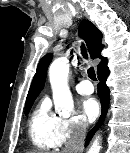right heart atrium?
Here are the masks:
<instances>
[{"mask_svg": "<svg viewBox=\"0 0 130 153\" xmlns=\"http://www.w3.org/2000/svg\"><path fill=\"white\" fill-rule=\"evenodd\" d=\"M86 131V123L79 116L61 118L58 140L62 145L70 140L81 137Z\"/></svg>", "mask_w": 130, "mask_h": 153, "instance_id": "right-heart-atrium-1", "label": "right heart atrium"}]
</instances>
